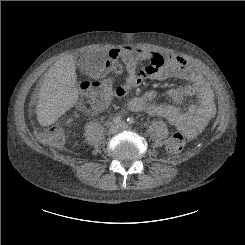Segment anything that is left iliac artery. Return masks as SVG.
I'll list each match as a JSON object with an SVG mask.
<instances>
[{"label":"left iliac artery","instance_id":"1","mask_svg":"<svg viewBox=\"0 0 245 245\" xmlns=\"http://www.w3.org/2000/svg\"><path fill=\"white\" fill-rule=\"evenodd\" d=\"M127 122H128L129 124H134L135 119H134L133 117H128V118H127Z\"/></svg>","mask_w":245,"mask_h":245}]
</instances>
